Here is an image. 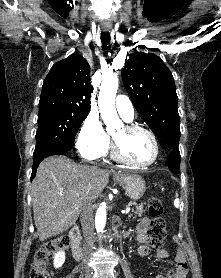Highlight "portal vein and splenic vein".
Returning a JSON list of instances; mask_svg holds the SVG:
<instances>
[{
  "label": "portal vein and splenic vein",
  "mask_w": 221,
  "mask_h": 278,
  "mask_svg": "<svg viewBox=\"0 0 221 278\" xmlns=\"http://www.w3.org/2000/svg\"><path fill=\"white\" fill-rule=\"evenodd\" d=\"M131 208L128 206L122 213L128 214L130 212Z\"/></svg>",
  "instance_id": "1"
}]
</instances>
